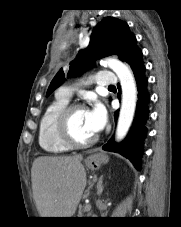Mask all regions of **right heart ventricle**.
Masks as SVG:
<instances>
[{
    "label": "right heart ventricle",
    "mask_w": 181,
    "mask_h": 227,
    "mask_svg": "<svg viewBox=\"0 0 181 227\" xmlns=\"http://www.w3.org/2000/svg\"><path fill=\"white\" fill-rule=\"evenodd\" d=\"M68 103V98L57 95L40 118L38 141L41 148L47 153L60 154L70 149V146L58 137L56 131V119Z\"/></svg>",
    "instance_id": "obj_1"
}]
</instances>
